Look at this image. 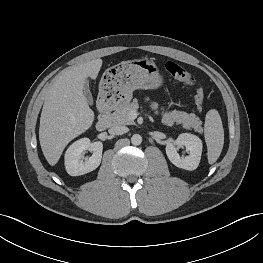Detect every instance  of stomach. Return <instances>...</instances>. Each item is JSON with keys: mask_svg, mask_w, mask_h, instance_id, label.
I'll list each match as a JSON object with an SVG mask.
<instances>
[{"mask_svg": "<svg viewBox=\"0 0 263 263\" xmlns=\"http://www.w3.org/2000/svg\"><path fill=\"white\" fill-rule=\"evenodd\" d=\"M162 84L163 77L153 60L135 59L108 68L101 79L99 95L115 106H123L136 89H157Z\"/></svg>", "mask_w": 263, "mask_h": 263, "instance_id": "0dacf381", "label": "stomach"}]
</instances>
